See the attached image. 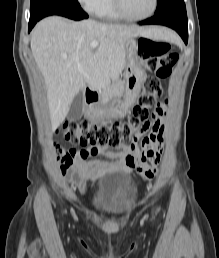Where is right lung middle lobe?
Wrapping results in <instances>:
<instances>
[{
	"label": "right lung middle lobe",
	"instance_id": "right-lung-middle-lobe-1",
	"mask_svg": "<svg viewBox=\"0 0 219 258\" xmlns=\"http://www.w3.org/2000/svg\"><path fill=\"white\" fill-rule=\"evenodd\" d=\"M58 3L77 4V0H30V17L35 16L42 9Z\"/></svg>",
	"mask_w": 219,
	"mask_h": 258
}]
</instances>
